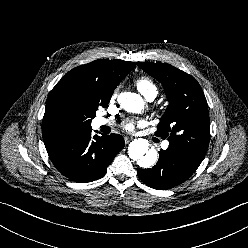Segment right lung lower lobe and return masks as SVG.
Wrapping results in <instances>:
<instances>
[{"label":"right lung lower lobe","instance_id":"obj_1","mask_svg":"<svg viewBox=\"0 0 248 248\" xmlns=\"http://www.w3.org/2000/svg\"><path fill=\"white\" fill-rule=\"evenodd\" d=\"M47 153L65 177L85 183L102 177L114 157L123 149L121 135L111 134L91 137V129L70 131L44 139Z\"/></svg>","mask_w":248,"mask_h":248}]
</instances>
